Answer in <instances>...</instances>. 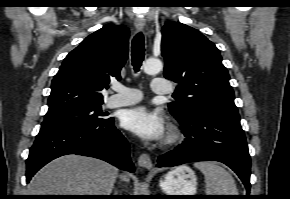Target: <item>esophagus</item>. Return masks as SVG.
Instances as JSON below:
<instances>
[{"label":"esophagus","mask_w":290,"mask_h":199,"mask_svg":"<svg viewBox=\"0 0 290 199\" xmlns=\"http://www.w3.org/2000/svg\"><path fill=\"white\" fill-rule=\"evenodd\" d=\"M135 27L138 31H142L145 27V20L143 18L137 17L135 19ZM138 165L145 169H152L153 164L150 156L147 153H142L138 158Z\"/></svg>","instance_id":"obj_1"}]
</instances>
